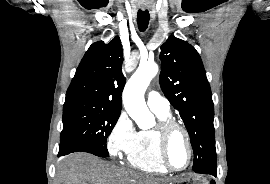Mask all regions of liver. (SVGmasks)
Instances as JSON below:
<instances>
[{"mask_svg":"<svg viewBox=\"0 0 270 184\" xmlns=\"http://www.w3.org/2000/svg\"><path fill=\"white\" fill-rule=\"evenodd\" d=\"M55 184H168V181L117 167L91 154L73 153L59 161Z\"/></svg>","mask_w":270,"mask_h":184,"instance_id":"liver-1","label":"liver"}]
</instances>
